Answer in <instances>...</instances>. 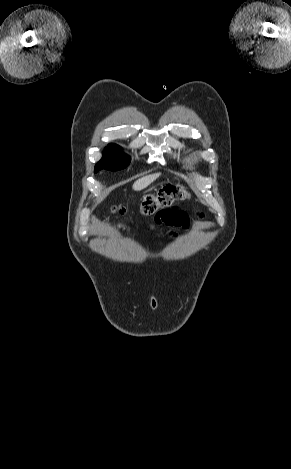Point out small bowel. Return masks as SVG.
<instances>
[{"instance_id": "1", "label": "small bowel", "mask_w": 291, "mask_h": 469, "mask_svg": "<svg viewBox=\"0 0 291 469\" xmlns=\"http://www.w3.org/2000/svg\"><path fill=\"white\" fill-rule=\"evenodd\" d=\"M160 225H166L175 229H186L189 226V217L181 210H165L157 215L154 219L153 226ZM172 235L175 236V232H172Z\"/></svg>"}]
</instances>
